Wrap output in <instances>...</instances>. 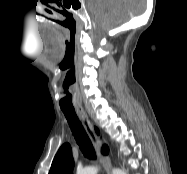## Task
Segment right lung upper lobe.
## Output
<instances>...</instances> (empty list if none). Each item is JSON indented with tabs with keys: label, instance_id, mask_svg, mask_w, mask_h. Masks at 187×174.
<instances>
[{
	"label": "right lung upper lobe",
	"instance_id": "cb5924a9",
	"mask_svg": "<svg viewBox=\"0 0 187 174\" xmlns=\"http://www.w3.org/2000/svg\"><path fill=\"white\" fill-rule=\"evenodd\" d=\"M96 132L99 134L98 129H96ZM104 153L107 154L108 153V148L106 146H104Z\"/></svg>",
	"mask_w": 187,
	"mask_h": 174
}]
</instances>
